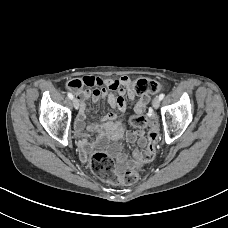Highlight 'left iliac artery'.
<instances>
[{
	"label": "left iliac artery",
	"mask_w": 228,
	"mask_h": 228,
	"mask_svg": "<svg viewBox=\"0 0 228 228\" xmlns=\"http://www.w3.org/2000/svg\"><path fill=\"white\" fill-rule=\"evenodd\" d=\"M164 97H165V94H164V93H161V94L159 95V99H160V100H162Z\"/></svg>",
	"instance_id": "1"
}]
</instances>
